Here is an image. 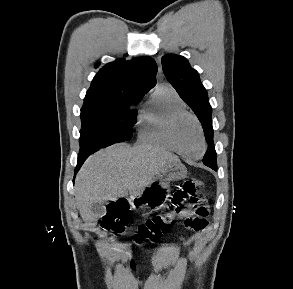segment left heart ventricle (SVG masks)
<instances>
[{
    "instance_id": "1",
    "label": "left heart ventricle",
    "mask_w": 293,
    "mask_h": 289,
    "mask_svg": "<svg viewBox=\"0 0 293 289\" xmlns=\"http://www.w3.org/2000/svg\"><path fill=\"white\" fill-rule=\"evenodd\" d=\"M176 138L180 149L189 156H198L202 149V140L196 123L184 118L178 123Z\"/></svg>"
}]
</instances>
